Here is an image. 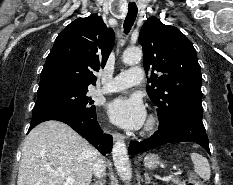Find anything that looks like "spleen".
Listing matches in <instances>:
<instances>
[{
	"label": "spleen",
	"instance_id": "obj_1",
	"mask_svg": "<svg viewBox=\"0 0 233 185\" xmlns=\"http://www.w3.org/2000/svg\"><path fill=\"white\" fill-rule=\"evenodd\" d=\"M190 157L194 164V170L196 174L203 180H209L211 176V170L208 160L196 152L191 153Z\"/></svg>",
	"mask_w": 233,
	"mask_h": 185
}]
</instances>
